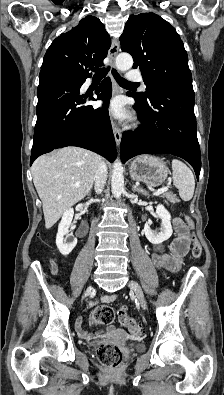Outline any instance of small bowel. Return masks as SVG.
<instances>
[{"mask_svg": "<svg viewBox=\"0 0 224 395\" xmlns=\"http://www.w3.org/2000/svg\"><path fill=\"white\" fill-rule=\"evenodd\" d=\"M173 224L177 231V235L170 245V253L165 254L160 252H153L151 255V260L158 269L169 272H175L180 269L182 257L187 253L190 243V239L187 235V228L183 224L182 220L176 218L174 219ZM114 299V295H107L102 298V300L104 301H111ZM76 329L80 336H90L84 328L82 318H78L76 320Z\"/></svg>", "mask_w": 224, "mask_h": 395, "instance_id": "c3829d8e", "label": "small bowel"}]
</instances>
